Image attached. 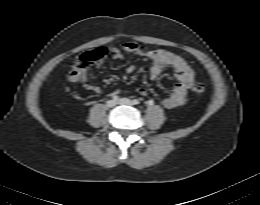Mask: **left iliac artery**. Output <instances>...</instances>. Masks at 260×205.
I'll use <instances>...</instances> for the list:
<instances>
[{"mask_svg":"<svg viewBox=\"0 0 260 205\" xmlns=\"http://www.w3.org/2000/svg\"><path fill=\"white\" fill-rule=\"evenodd\" d=\"M133 104H134V105H138V104H139V101H138L137 99H134V100H133Z\"/></svg>","mask_w":260,"mask_h":205,"instance_id":"obj_1","label":"left iliac artery"}]
</instances>
